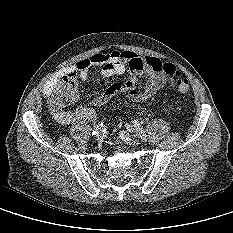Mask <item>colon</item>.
<instances>
[{"mask_svg": "<svg viewBox=\"0 0 233 233\" xmlns=\"http://www.w3.org/2000/svg\"><path fill=\"white\" fill-rule=\"evenodd\" d=\"M162 69L166 74L176 77V87L179 93L184 95L189 93L190 86L187 78L182 77L172 64H164ZM77 97L78 88L74 77H63L57 85L56 105L63 107L65 102L74 101Z\"/></svg>", "mask_w": 233, "mask_h": 233, "instance_id": "colon-1", "label": "colon"}]
</instances>
